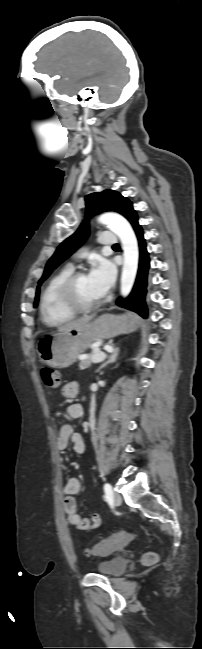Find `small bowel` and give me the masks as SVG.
Here are the masks:
<instances>
[{
	"label": "small bowel",
	"instance_id": "obj_1",
	"mask_svg": "<svg viewBox=\"0 0 202 649\" xmlns=\"http://www.w3.org/2000/svg\"><path fill=\"white\" fill-rule=\"evenodd\" d=\"M79 386L76 381L67 382L62 388V394L65 397L73 398L78 394ZM67 414L71 419H79L83 414V407L80 403H71L66 408ZM72 444L73 450L77 454L85 452V443L80 433L75 432L70 424H64L59 430L56 439V448L58 451H65L69 444ZM81 490V483L77 478L69 479L63 488L65 494L64 510L67 514L68 522L76 529L81 531H91L99 529L102 526V519L99 514L92 513L83 516L76 505L74 496Z\"/></svg>",
	"mask_w": 202,
	"mask_h": 649
}]
</instances>
